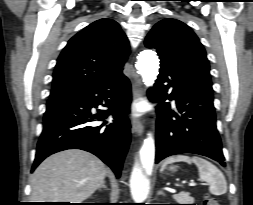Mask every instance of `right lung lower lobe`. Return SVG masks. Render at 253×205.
<instances>
[{
	"mask_svg": "<svg viewBox=\"0 0 253 205\" xmlns=\"http://www.w3.org/2000/svg\"><path fill=\"white\" fill-rule=\"evenodd\" d=\"M130 102L131 86L123 74L96 87L49 98L32 171L53 153L82 149L98 156L119 178L130 143ZM98 105L109 109L93 114L91 108ZM109 115L114 119L104 121Z\"/></svg>",
	"mask_w": 253,
	"mask_h": 205,
	"instance_id": "98d812e1",
	"label": "right lung lower lobe"
}]
</instances>
